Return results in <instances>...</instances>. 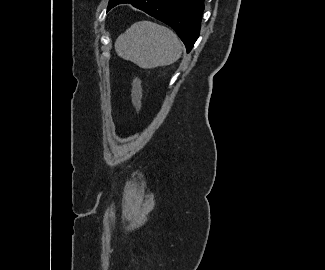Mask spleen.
Segmentation results:
<instances>
[{
	"label": "spleen",
	"mask_w": 325,
	"mask_h": 270,
	"mask_svg": "<svg viewBox=\"0 0 325 270\" xmlns=\"http://www.w3.org/2000/svg\"><path fill=\"white\" fill-rule=\"evenodd\" d=\"M116 53L144 69L171 65L182 54L178 36L151 21L134 23L115 42Z\"/></svg>",
	"instance_id": "3e777b00"
}]
</instances>
